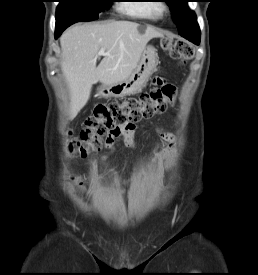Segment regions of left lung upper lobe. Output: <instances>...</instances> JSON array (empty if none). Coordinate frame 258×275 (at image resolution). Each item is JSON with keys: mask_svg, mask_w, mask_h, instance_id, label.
<instances>
[{"mask_svg": "<svg viewBox=\"0 0 258 275\" xmlns=\"http://www.w3.org/2000/svg\"><path fill=\"white\" fill-rule=\"evenodd\" d=\"M172 11L173 20L176 22L179 32H183L191 26L197 25L194 12L190 11L188 0H165Z\"/></svg>", "mask_w": 258, "mask_h": 275, "instance_id": "5c2ea615", "label": "left lung upper lobe"}]
</instances>
